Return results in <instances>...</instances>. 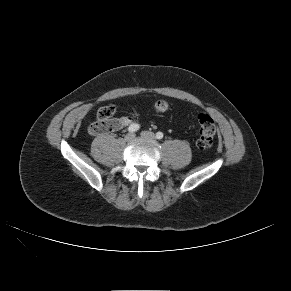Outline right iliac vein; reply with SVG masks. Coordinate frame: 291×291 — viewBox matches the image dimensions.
I'll return each mask as SVG.
<instances>
[{
	"label": "right iliac vein",
	"instance_id": "obj_1",
	"mask_svg": "<svg viewBox=\"0 0 291 291\" xmlns=\"http://www.w3.org/2000/svg\"><path fill=\"white\" fill-rule=\"evenodd\" d=\"M134 138H135V134H134V133H128V134L125 136V141H127V142H131Z\"/></svg>",
	"mask_w": 291,
	"mask_h": 291
}]
</instances>
